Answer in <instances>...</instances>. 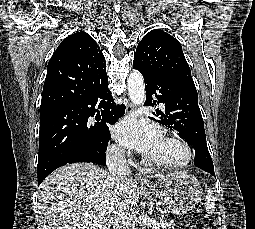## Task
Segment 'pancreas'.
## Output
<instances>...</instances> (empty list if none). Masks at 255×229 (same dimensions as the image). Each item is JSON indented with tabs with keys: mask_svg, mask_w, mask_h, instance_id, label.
<instances>
[{
	"mask_svg": "<svg viewBox=\"0 0 255 229\" xmlns=\"http://www.w3.org/2000/svg\"><path fill=\"white\" fill-rule=\"evenodd\" d=\"M162 229H175V224L173 221L170 222L164 221L162 224Z\"/></svg>",
	"mask_w": 255,
	"mask_h": 229,
	"instance_id": "cf45deb5",
	"label": "pancreas"
}]
</instances>
